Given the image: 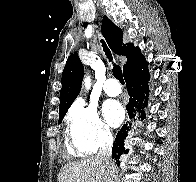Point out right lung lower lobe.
Wrapping results in <instances>:
<instances>
[{
    "label": "right lung lower lobe",
    "instance_id": "right-lung-lower-lobe-1",
    "mask_svg": "<svg viewBox=\"0 0 196 182\" xmlns=\"http://www.w3.org/2000/svg\"><path fill=\"white\" fill-rule=\"evenodd\" d=\"M123 74L127 84V91L130 96L126 109L128 111L129 118L132 119L135 117L134 113L139 108L147 106L150 73L148 70V63L144 56L124 71ZM142 118H144V114H142ZM130 131V123L124 124L122 129L118 132L113 144L112 158L116 161L118 166L120 165V155L128 153V149H125L124 147V141Z\"/></svg>",
    "mask_w": 196,
    "mask_h": 182
}]
</instances>
